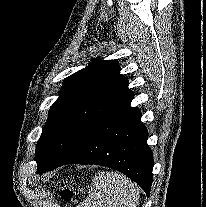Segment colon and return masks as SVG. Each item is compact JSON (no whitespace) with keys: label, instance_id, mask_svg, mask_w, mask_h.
I'll list each match as a JSON object with an SVG mask.
<instances>
[{"label":"colon","instance_id":"colon-1","mask_svg":"<svg viewBox=\"0 0 206 207\" xmlns=\"http://www.w3.org/2000/svg\"><path fill=\"white\" fill-rule=\"evenodd\" d=\"M74 195H75V192L70 187L64 188L60 194L62 200L65 201L66 203H71L74 198ZM69 207H72V206L70 205Z\"/></svg>","mask_w":206,"mask_h":207}]
</instances>
